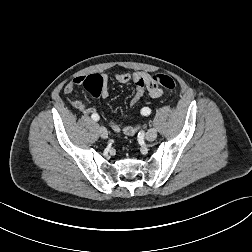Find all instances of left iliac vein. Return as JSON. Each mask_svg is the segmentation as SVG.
Listing matches in <instances>:
<instances>
[{
    "mask_svg": "<svg viewBox=\"0 0 252 252\" xmlns=\"http://www.w3.org/2000/svg\"><path fill=\"white\" fill-rule=\"evenodd\" d=\"M157 137V131L154 128H151L146 133V140L147 141H154Z\"/></svg>",
    "mask_w": 252,
    "mask_h": 252,
    "instance_id": "left-iliac-vein-1",
    "label": "left iliac vein"
}]
</instances>
